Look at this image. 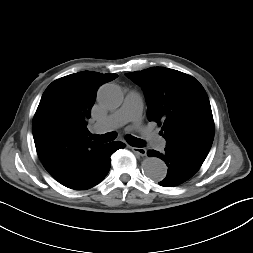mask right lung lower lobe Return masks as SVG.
<instances>
[{"instance_id":"obj_1","label":"right lung lower lobe","mask_w":253,"mask_h":253,"mask_svg":"<svg viewBox=\"0 0 253 253\" xmlns=\"http://www.w3.org/2000/svg\"><path fill=\"white\" fill-rule=\"evenodd\" d=\"M124 147L125 144L121 142H111L108 144H103L102 148H100L96 154L95 166L92 175L87 180L72 189L85 190L92 188L93 186L100 183L110 170L111 154H113L116 150Z\"/></svg>"}]
</instances>
